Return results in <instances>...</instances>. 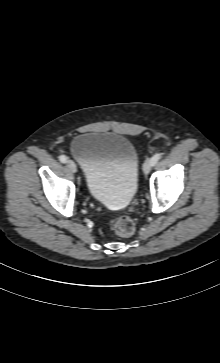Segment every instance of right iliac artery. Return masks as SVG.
<instances>
[{"label": "right iliac artery", "mask_w": 220, "mask_h": 363, "mask_svg": "<svg viewBox=\"0 0 220 363\" xmlns=\"http://www.w3.org/2000/svg\"><path fill=\"white\" fill-rule=\"evenodd\" d=\"M59 160L62 163H66L67 162V157L65 155H61V156H59Z\"/></svg>", "instance_id": "right-iliac-artery-1"}]
</instances>
